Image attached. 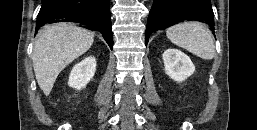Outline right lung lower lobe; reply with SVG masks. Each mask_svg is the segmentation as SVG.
I'll list each match as a JSON object with an SVG mask.
<instances>
[{
  "instance_id": "98d812e1",
  "label": "right lung lower lobe",
  "mask_w": 257,
  "mask_h": 130,
  "mask_svg": "<svg viewBox=\"0 0 257 130\" xmlns=\"http://www.w3.org/2000/svg\"><path fill=\"white\" fill-rule=\"evenodd\" d=\"M75 22L98 31L113 47L110 0H43L36 20V30L46 24Z\"/></svg>"
}]
</instances>
